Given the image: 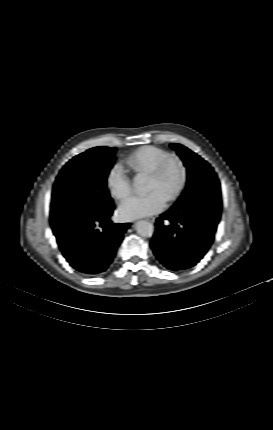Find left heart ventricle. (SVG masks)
Segmentation results:
<instances>
[{"label":"left heart ventricle","instance_id":"b2bd125f","mask_svg":"<svg viewBox=\"0 0 273 430\" xmlns=\"http://www.w3.org/2000/svg\"><path fill=\"white\" fill-rule=\"evenodd\" d=\"M179 179V170L171 167L163 179L157 180L152 177L148 181V191H159L165 198L169 192L176 186Z\"/></svg>","mask_w":273,"mask_h":430}]
</instances>
